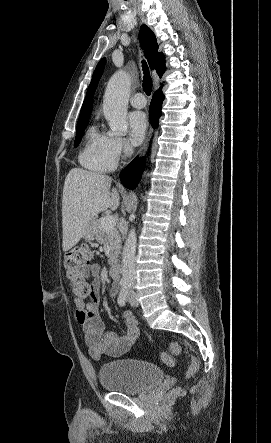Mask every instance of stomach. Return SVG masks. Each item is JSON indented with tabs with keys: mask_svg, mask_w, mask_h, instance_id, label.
<instances>
[{
	"mask_svg": "<svg viewBox=\"0 0 271 443\" xmlns=\"http://www.w3.org/2000/svg\"><path fill=\"white\" fill-rule=\"evenodd\" d=\"M94 222H95V218H93V220H91V222L89 223V225L83 235L85 241H91V239H94V237H95Z\"/></svg>",
	"mask_w": 271,
	"mask_h": 443,
	"instance_id": "0dacf381",
	"label": "stomach"
}]
</instances>
